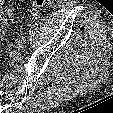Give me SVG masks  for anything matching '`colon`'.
I'll return each mask as SVG.
<instances>
[{
    "label": "colon",
    "instance_id": "1",
    "mask_svg": "<svg viewBox=\"0 0 113 113\" xmlns=\"http://www.w3.org/2000/svg\"><path fill=\"white\" fill-rule=\"evenodd\" d=\"M45 1L46 0H31V6H30V13H31V15L37 16L39 14L40 8L43 6V4L45 3ZM3 19H5V18H3ZM0 24L2 25L1 16H0ZM4 27L2 26V29Z\"/></svg>",
    "mask_w": 113,
    "mask_h": 113
}]
</instances>
